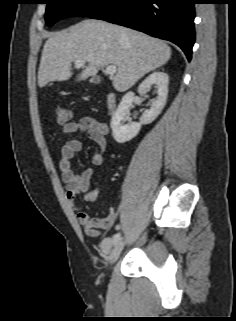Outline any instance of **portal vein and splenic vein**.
I'll list each match as a JSON object with an SVG mask.
<instances>
[{
  "label": "portal vein and splenic vein",
  "mask_w": 236,
  "mask_h": 321,
  "mask_svg": "<svg viewBox=\"0 0 236 321\" xmlns=\"http://www.w3.org/2000/svg\"><path fill=\"white\" fill-rule=\"evenodd\" d=\"M74 63H75L76 67H82V66L85 65V61L84 60H77ZM116 71H117V69H116V66H114V65H108L105 68V72L110 76H114Z\"/></svg>",
  "instance_id": "18ae733b"
}]
</instances>
